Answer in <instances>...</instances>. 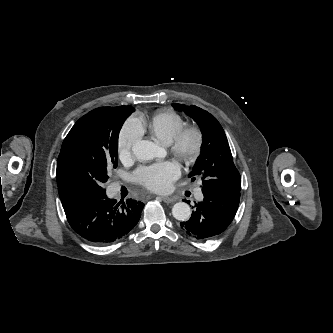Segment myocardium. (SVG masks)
<instances>
[{
  "instance_id": "obj_1",
  "label": "myocardium",
  "mask_w": 333,
  "mask_h": 333,
  "mask_svg": "<svg viewBox=\"0 0 333 333\" xmlns=\"http://www.w3.org/2000/svg\"><path fill=\"white\" fill-rule=\"evenodd\" d=\"M171 145L172 153L186 164L194 163L202 153L204 135L193 124H184L174 135Z\"/></svg>"
}]
</instances>
